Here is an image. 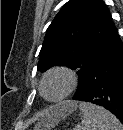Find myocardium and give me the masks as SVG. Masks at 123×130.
<instances>
[{"mask_svg":"<svg viewBox=\"0 0 123 130\" xmlns=\"http://www.w3.org/2000/svg\"><path fill=\"white\" fill-rule=\"evenodd\" d=\"M56 74H61L66 78L67 86L60 95H58L56 97H48L45 94L44 85H45L46 81L48 80V78H50L51 76L56 75ZM77 85H78V76H77L76 72L68 66L59 65V66H54V67L48 69L44 73V75L41 79V82H40V92L46 100H48L50 102H58V101L65 99L66 97H68L76 89Z\"/></svg>","mask_w":123,"mask_h":130,"instance_id":"obj_1","label":"myocardium"}]
</instances>
